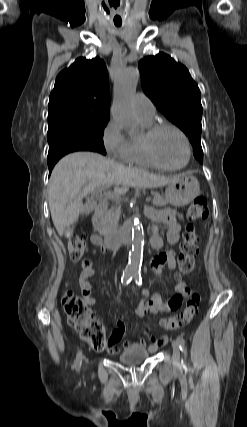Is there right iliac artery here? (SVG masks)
Wrapping results in <instances>:
<instances>
[{"mask_svg":"<svg viewBox=\"0 0 247 427\" xmlns=\"http://www.w3.org/2000/svg\"><path fill=\"white\" fill-rule=\"evenodd\" d=\"M133 276L131 274H123L122 278H121V282L123 285H127L130 283V281L132 280ZM81 360H82V351H78L77 353V357H76V361L74 364V367L76 370H79L81 367Z\"/></svg>","mask_w":247,"mask_h":427,"instance_id":"1","label":"right iliac artery"}]
</instances>
